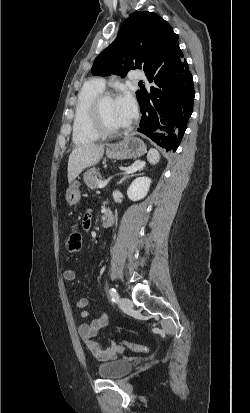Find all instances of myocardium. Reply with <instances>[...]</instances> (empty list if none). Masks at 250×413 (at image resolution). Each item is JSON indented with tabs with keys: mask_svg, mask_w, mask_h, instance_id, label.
<instances>
[{
	"mask_svg": "<svg viewBox=\"0 0 250 413\" xmlns=\"http://www.w3.org/2000/svg\"><path fill=\"white\" fill-rule=\"evenodd\" d=\"M107 98H113V94L108 91H102L94 98L90 108L91 124L100 137L116 136L126 129V127L113 129L106 125L103 117L102 105Z\"/></svg>",
	"mask_w": 250,
	"mask_h": 413,
	"instance_id": "f54148a6",
	"label": "myocardium"
}]
</instances>
